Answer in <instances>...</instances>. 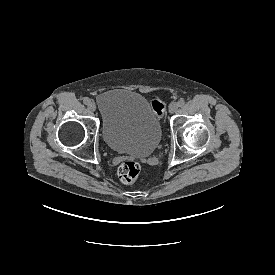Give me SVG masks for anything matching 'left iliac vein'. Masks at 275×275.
Returning <instances> with one entry per match:
<instances>
[{"label":"left iliac vein","instance_id":"left-iliac-vein-1","mask_svg":"<svg viewBox=\"0 0 275 275\" xmlns=\"http://www.w3.org/2000/svg\"><path fill=\"white\" fill-rule=\"evenodd\" d=\"M178 109V104L176 102H172L170 105H169V112L171 114L175 113Z\"/></svg>","mask_w":275,"mask_h":275}]
</instances>
